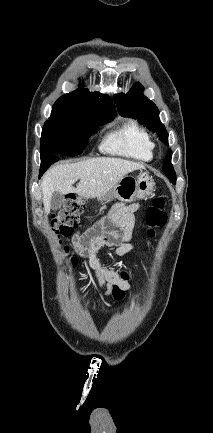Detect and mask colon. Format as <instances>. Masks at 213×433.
Masks as SVG:
<instances>
[{"label": "colon", "instance_id": "obj_1", "mask_svg": "<svg viewBox=\"0 0 213 433\" xmlns=\"http://www.w3.org/2000/svg\"><path fill=\"white\" fill-rule=\"evenodd\" d=\"M85 209V203L77 197H70L63 207L51 216V227L53 233L58 237H67L73 233L74 228L79 223V218ZM146 220L150 227L148 235L150 237L155 236V228H159L165 225L167 221V215L164 211V200L162 197H156L153 199L151 206L148 208L146 213ZM65 252L68 251L67 247H64ZM72 265H75L76 261L74 258L70 260ZM126 278V275H123ZM113 294L116 298H121L123 291L115 288Z\"/></svg>", "mask_w": 213, "mask_h": 433}]
</instances>
